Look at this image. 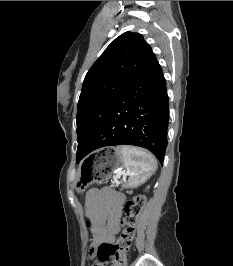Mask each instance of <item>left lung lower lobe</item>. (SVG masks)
<instances>
[{
    "label": "left lung lower lobe",
    "instance_id": "left-lung-lower-lobe-1",
    "mask_svg": "<svg viewBox=\"0 0 233 266\" xmlns=\"http://www.w3.org/2000/svg\"><path fill=\"white\" fill-rule=\"evenodd\" d=\"M168 100L166 80L153 54L77 161L98 148L128 144L150 150L162 165L167 146Z\"/></svg>",
    "mask_w": 233,
    "mask_h": 266
}]
</instances>
